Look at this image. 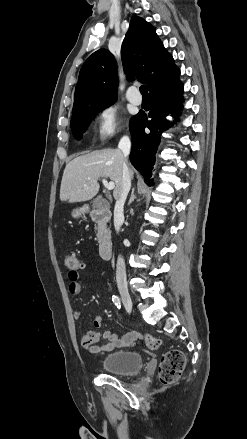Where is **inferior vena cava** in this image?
Segmentation results:
<instances>
[{
  "instance_id": "inferior-vena-cava-1",
  "label": "inferior vena cava",
  "mask_w": 247,
  "mask_h": 439,
  "mask_svg": "<svg viewBox=\"0 0 247 439\" xmlns=\"http://www.w3.org/2000/svg\"><path fill=\"white\" fill-rule=\"evenodd\" d=\"M118 148L122 151L124 155V161L122 164V190L114 208V226L117 232L120 230V226L124 220V204L131 188V177L127 166V156L129 155L131 150V141L128 136H123L120 139ZM116 282L118 288L120 289L127 287L125 262L122 256H118L117 259Z\"/></svg>"
}]
</instances>
